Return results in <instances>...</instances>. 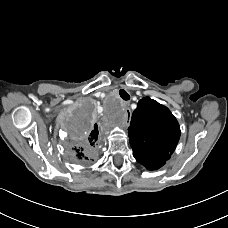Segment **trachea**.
<instances>
[{
	"label": "trachea",
	"instance_id": "trachea-1",
	"mask_svg": "<svg viewBox=\"0 0 228 228\" xmlns=\"http://www.w3.org/2000/svg\"><path fill=\"white\" fill-rule=\"evenodd\" d=\"M119 95L120 97L123 99V100H129L130 99V95L124 90V89H121L119 91Z\"/></svg>",
	"mask_w": 228,
	"mask_h": 228
}]
</instances>
